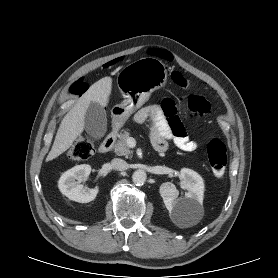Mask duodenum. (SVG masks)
I'll return each instance as SVG.
<instances>
[{
  "mask_svg": "<svg viewBox=\"0 0 278 278\" xmlns=\"http://www.w3.org/2000/svg\"><path fill=\"white\" fill-rule=\"evenodd\" d=\"M117 133H118V127L116 126L112 129V131L106 136V138L100 144L99 146L100 153H107L113 148L117 138Z\"/></svg>",
  "mask_w": 278,
  "mask_h": 278,
  "instance_id": "obj_1",
  "label": "duodenum"
}]
</instances>
